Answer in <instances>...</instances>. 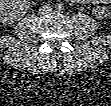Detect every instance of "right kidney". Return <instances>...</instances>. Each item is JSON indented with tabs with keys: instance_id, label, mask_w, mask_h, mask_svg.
<instances>
[{
	"instance_id": "ca27d5eb",
	"label": "right kidney",
	"mask_w": 111,
	"mask_h": 106,
	"mask_svg": "<svg viewBox=\"0 0 111 106\" xmlns=\"http://www.w3.org/2000/svg\"><path fill=\"white\" fill-rule=\"evenodd\" d=\"M16 4L11 2H1L0 12L4 22L13 23L18 18L16 11Z\"/></svg>"
}]
</instances>
